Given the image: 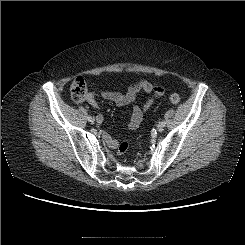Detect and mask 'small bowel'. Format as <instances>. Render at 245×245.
<instances>
[{
    "instance_id": "small-bowel-1",
    "label": "small bowel",
    "mask_w": 245,
    "mask_h": 245,
    "mask_svg": "<svg viewBox=\"0 0 245 245\" xmlns=\"http://www.w3.org/2000/svg\"><path fill=\"white\" fill-rule=\"evenodd\" d=\"M140 91H144L145 93L150 94L151 97L142 106H133L132 108L129 127L131 129H137L140 126L146 112L153 105L154 101L164 94V90L162 87L154 86L147 81H139L132 84L125 94L116 91L106 90L101 93V97L107 101L115 103L118 106H127L134 102L137 94ZM87 100L93 107L96 108L98 106L95 96L93 94H89ZM97 120L99 122L102 121V115H98ZM103 138L106 141L107 145L111 148H115L118 144V142L107 133H103Z\"/></svg>"
}]
</instances>
